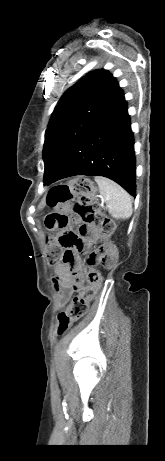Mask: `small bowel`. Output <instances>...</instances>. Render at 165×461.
<instances>
[{"mask_svg":"<svg viewBox=\"0 0 165 461\" xmlns=\"http://www.w3.org/2000/svg\"><path fill=\"white\" fill-rule=\"evenodd\" d=\"M53 237L56 241V249L68 250L60 251V263L54 268L53 279L58 292V301L64 304L73 291L82 288L84 283L79 252L90 248L98 240L99 233L96 225H73V229H57Z\"/></svg>","mask_w":165,"mask_h":461,"instance_id":"obj_1","label":"small bowel"}]
</instances>
